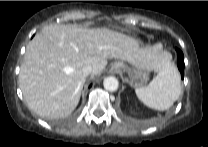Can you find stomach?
<instances>
[{"mask_svg": "<svg viewBox=\"0 0 208 147\" xmlns=\"http://www.w3.org/2000/svg\"><path fill=\"white\" fill-rule=\"evenodd\" d=\"M111 70L112 71H116V70L126 71L129 74V78H130L129 83L134 88L142 87L143 85L146 84V82L149 79L148 71L145 70L144 68H141L139 66H134V65L129 66L121 61H116L111 66Z\"/></svg>", "mask_w": 208, "mask_h": 147, "instance_id": "stomach-1", "label": "stomach"}]
</instances>
